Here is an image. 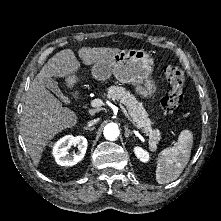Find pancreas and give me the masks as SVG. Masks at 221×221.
I'll return each instance as SVG.
<instances>
[{
    "label": "pancreas",
    "mask_w": 221,
    "mask_h": 221,
    "mask_svg": "<svg viewBox=\"0 0 221 221\" xmlns=\"http://www.w3.org/2000/svg\"><path fill=\"white\" fill-rule=\"evenodd\" d=\"M106 97L111 100L120 101L126 106L133 123L150 137V147L154 150L160 140V132L157 129H152V122L148 118V113L134 95L124 87L111 86L107 89Z\"/></svg>",
    "instance_id": "pancreas-1"
}]
</instances>
